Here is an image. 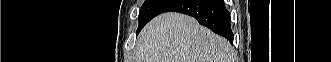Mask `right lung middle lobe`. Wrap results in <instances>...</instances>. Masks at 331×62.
I'll return each mask as SVG.
<instances>
[{
  "label": "right lung middle lobe",
  "instance_id": "dd1d6c3e",
  "mask_svg": "<svg viewBox=\"0 0 331 62\" xmlns=\"http://www.w3.org/2000/svg\"><path fill=\"white\" fill-rule=\"evenodd\" d=\"M174 0H145L139 12V32L152 18L162 12V10Z\"/></svg>",
  "mask_w": 331,
  "mask_h": 62
}]
</instances>
